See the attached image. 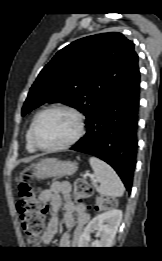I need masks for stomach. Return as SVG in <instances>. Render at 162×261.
I'll return each mask as SVG.
<instances>
[{
  "label": "stomach",
  "mask_w": 162,
  "mask_h": 261,
  "mask_svg": "<svg viewBox=\"0 0 162 261\" xmlns=\"http://www.w3.org/2000/svg\"><path fill=\"white\" fill-rule=\"evenodd\" d=\"M77 169L76 162L47 158L41 160L33 167V176L37 179L68 176L74 174Z\"/></svg>",
  "instance_id": "obj_1"
}]
</instances>
